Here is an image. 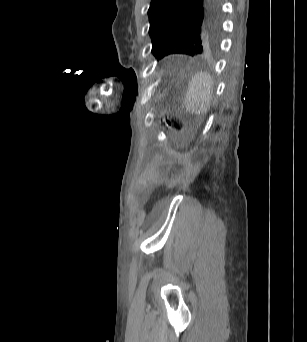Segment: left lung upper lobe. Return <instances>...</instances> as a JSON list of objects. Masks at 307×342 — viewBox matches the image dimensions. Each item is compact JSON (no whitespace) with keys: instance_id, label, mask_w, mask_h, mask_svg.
<instances>
[{"instance_id":"5c2ea615","label":"left lung upper lobe","mask_w":307,"mask_h":342,"mask_svg":"<svg viewBox=\"0 0 307 342\" xmlns=\"http://www.w3.org/2000/svg\"><path fill=\"white\" fill-rule=\"evenodd\" d=\"M148 16L152 53L157 59L174 53L197 56L218 41L216 0H152Z\"/></svg>"}]
</instances>
